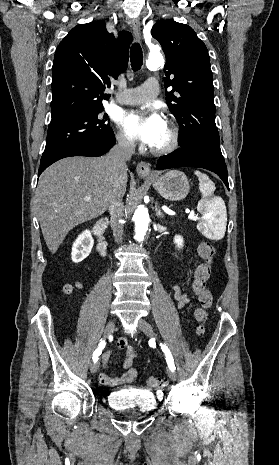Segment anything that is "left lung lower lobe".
Returning <instances> with one entry per match:
<instances>
[{
	"label": "left lung lower lobe",
	"instance_id": "obj_1",
	"mask_svg": "<svg viewBox=\"0 0 279 465\" xmlns=\"http://www.w3.org/2000/svg\"><path fill=\"white\" fill-rule=\"evenodd\" d=\"M174 167H198L216 173L229 189L228 173L224 159L207 151L194 147H181L169 155L160 157L156 169L163 170Z\"/></svg>",
	"mask_w": 279,
	"mask_h": 465
}]
</instances>
